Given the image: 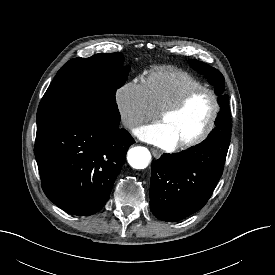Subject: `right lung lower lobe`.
Wrapping results in <instances>:
<instances>
[{
    "instance_id": "98d812e1",
    "label": "right lung lower lobe",
    "mask_w": 275,
    "mask_h": 275,
    "mask_svg": "<svg viewBox=\"0 0 275 275\" xmlns=\"http://www.w3.org/2000/svg\"><path fill=\"white\" fill-rule=\"evenodd\" d=\"M133 143L119 124L90 117L37 133L34 153L44 193L70 214L98 212L108 201Z\"/></svg>"
}]
</instances>
